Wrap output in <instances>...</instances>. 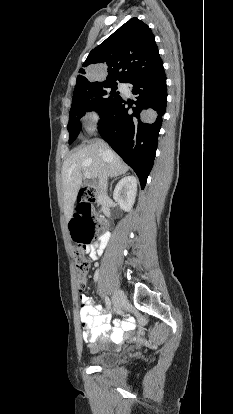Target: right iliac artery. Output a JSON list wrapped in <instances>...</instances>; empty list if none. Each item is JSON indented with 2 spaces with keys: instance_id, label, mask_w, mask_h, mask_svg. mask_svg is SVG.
<instances>
[{
  "instance_id": "obj_1",
  "label": "right iliac artery",
  "mask_w": 233,
  "mask_h": 414,
  "mask_svg": "<svg viewBox=\"0 0 233 414\" xmlns=\"http://www.w3.org/2000/svg\"><path fill=\"white\" fill-rule=\"evenodd\" d=\"M106 305L108 309H111V301L108 297H105Z\"/></svg>"
}]
</instances>
